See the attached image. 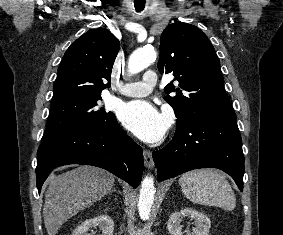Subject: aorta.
Returning a JSON list of instances; mask_svg holds the SVG:
<instances>
[{"label": "aorta", "mask_w": 283, "mask_h": 235, "mask_svg": "<svg viewBox=\"0 0 283 235\" xmlns=\"http://www.w3.org/2000/svg\"><path fill=\"white\" fill-rule=\"evenodd\" d=\"M157 53L152 46H146L134 51L128 62V71L130 74H136L147 68L156 60ZM156 188L152 176H146L140 188L138 211L142 220H147L150 216L151 207L154 201Z\"/></svg>", "instance_id": "762f6f07"}]
</instances>
